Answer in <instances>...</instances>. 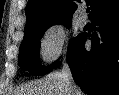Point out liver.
Listing matches in <instances>:
<instances>
[{"label":"liver","instance_id":"6515ba94","mask_svg":"<svg viewBox=\"0 0 119 95\" xmlns=\"http://www.w3.org/2000/svg\"><path fill=\"white\" fill-rule=\"evenodd\" d=\"M18 95H69V92L60 72H53L41 80L22 86Z\"/></svg>","mask_w":119,"mask_h":95}]
</instances>
